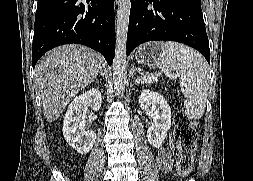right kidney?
Returning <instances> with one entry per match:
<instances>
[{"label":"right kidney","mask_w":253,"mask_h":181,"mask_svg":"<svg viewBox=\"0 0 253 181\" xmlns=\"http://www.w3.org/2000/svg\"><path fill=\"white\" fill-rule=\"evenodd\" d=\"M101 102L100 91L98 89H90L75 97L68 106L63 120V135L66 142L80 154L88 153L96 140L95 132L87 129L84 115L88 106H91L93 111H98L101 107Z\"/></svg>","instance_id":"right-kidney-1"}]
</instances>
